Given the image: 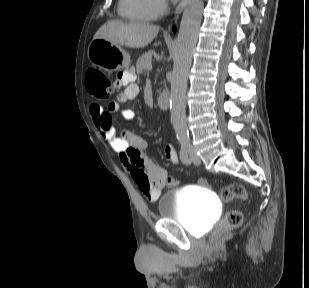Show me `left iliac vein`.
Instances as JSON below:
<instances>
[{
	"mask_svg": "<svg viewBox=\"0 0 309 288\" xmlns=\"http://www.w3.org/2000/svg\"><path fill=\"white\" fill-rule=\"evenodd\" d=\"M189 154H190V161L194 164H200L201 160L200 158L197 156V154L195 153V150L190 147L189 150Z\"/></svg>",
	"mask_w": 309,
	"mask_h": 288,
	"instance_id": "1",
	"label": "left iliac vein"
}]
</instances>
